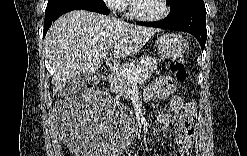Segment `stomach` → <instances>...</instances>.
Returning <instances> with one entry per match:
<instances>
[{"label":"stomach","instance_id":"stomach-1","mask_svg":"<svg viewBox=\"0 0 247 156\" xmlns=\"http://www.w3.org/2000/svg\"><path fill=\"white\" fill-rule=\"evenodd\" d=\"M158 52L164 58L180 56L187 48V40L181 34H164L157 39Z\"/></svg>","mask_w":247,"mask_h":156}]
</instances>
